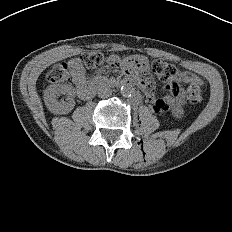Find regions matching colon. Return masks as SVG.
<instances>
[{
    "mask_svg": "<svg viewBox=\"0 0 232 232\" xmlns=\"http://www.w3.org/2000/svg\"><path fill=\"white\" fill-rule=\"evenodd\" d=\"M79 63L87 69H96L104 61V55L101 52L93 51L83 54L79 58ZM152 71L155 76L162 81L171 80L177 73L176 68L166 62L155 60L152 63ZM47 80L50 83H65L69 81V71L66 63L55 64L47 74ZM186 95L190 102L197 103L202 98V89L200 85L189 84L186 87Z\"/></svg>",
    "mask_w": 232,
    "mask_h": 232,
    "instance_id": "5ec220e1",
    "label": "colon"
}]
</instances>
